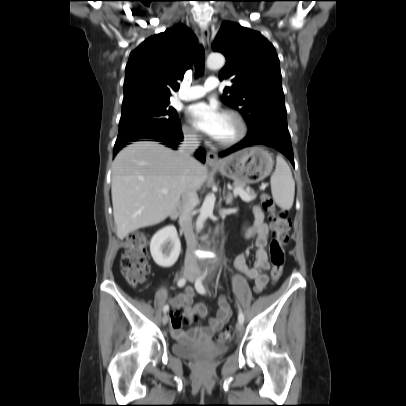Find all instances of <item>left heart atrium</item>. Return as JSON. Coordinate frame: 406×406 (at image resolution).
Segmentation results:
<instances>
[{
	"label": "left heart atrium",
	"instance_id": "39dd6f15",
	"mask_svg": "<svg viewBox=\"0 0 406 406\" xmlns=\"http://www.w3.org/2000/svg\"><path fill=\"white\" fill-rule=\"evenodd\" d=\"M192 124L200 131L216 138L221 126L223 113L215 104L199 102L188 109Z\"/></svg>",
	"mask_w": 406,
	"mask_h": 406
}]
</instances>
